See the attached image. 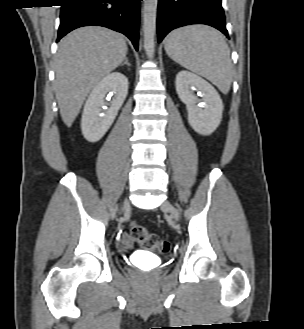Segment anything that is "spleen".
Here are the masks:
<instances>
[{"label":"spleen","instance_id":"obj_1","mask_svg":"<svg viewBox=\"0 0 304 329\" xmlns=\"http://www.w3.org/2000/svg\"><path fill=\"white\" fill-rule=\"evenodd\" d=\"M167 55L182 67L211 81L227 94L232 82L230 49L219 31L206 25L175 29L166 38Z\"/></svg>","mask_w":304,"mask_h":329}]
</instances>
